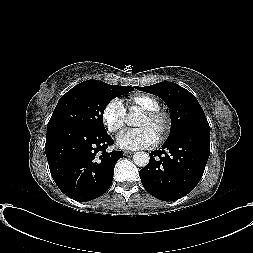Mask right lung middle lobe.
Here are the masks:
<instances>
[{"instance_id": "1", "label": "right lung middle lobe", "mask_w": 253, "mask_h": 253, "mask_svg": "<svg viewBox=\"0 0 253 253\" xmlns=\"http://www.w3.org/2000/svg\"><path fill=\"white\" fill-rule=\"evenodd\" d=\"M133 87L110 85L99 80L79 83L65 93L57 103L47 125V132L63 127L104 132L103 113L115 97L132 91Z\"/></svg>"}]
</instances>
